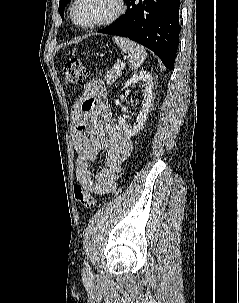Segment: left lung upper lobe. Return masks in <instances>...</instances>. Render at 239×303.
Listing matches in <instances>:
<instances>
[{"label": "left lung upper lobe", "mask_w": 239, "mask_h": 303, "mask_svg": "<svg viewBox=\"0 0 239 303\" xmlns=\"http://www.w3.org/2000/svg\"><path fill=\"white\" fill-rule=\"evenodd\" d=\"M70 0H60L59 1V14L61 15L62 18H64V9L67 5V3L69 2Z\"/></svg>", "instance_id": "5c2ea615"}]
</instances>
